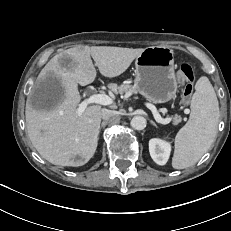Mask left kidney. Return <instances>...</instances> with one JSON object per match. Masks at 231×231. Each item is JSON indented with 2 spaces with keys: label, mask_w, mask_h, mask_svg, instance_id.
<instances>
[{
  "label": "left kidney",
  "mask_w": 231,
  "mask_h": 231,
  "mask_svg": "<svg viewBox=\"0 0 231 231\" xmlns=\"http://www.w3.org/2000/svg\"><path fill=\"white\" fill-rule=\"evenodd\" d=\"M149 152L155 163L165 165L170 156L171 145L164 140L153 138L149 141Z\"/></svg>",
  "instance_id": "left-kidney-1"
}]
</instances>
